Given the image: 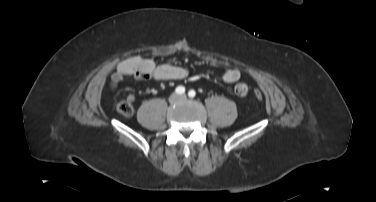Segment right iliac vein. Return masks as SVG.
<instances>
[{
    "label": "right iliac vein",
    "instance_id": "right-iliac-vein-1",
    "mask_svg": "<svg viewBox=\"0 0 376 202\" xmlns=\"http://www.w3.org/2000/svg\"><path fill=\"white\" fill-rule=\"evenodd\" d=\"M178 99V96L177 94H172L170 97H169V102L170 103H175Z\"/></svg>",
    "mask_w": 376,
    "mask_h": 202
}]
</instances>
